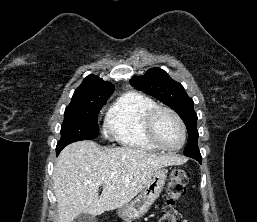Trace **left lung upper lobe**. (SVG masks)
Listing matches in <instances>:
<instances>
[{
    "instance_id": "obj_1",
    "label": "left lung upper lobe",
    "mask_w": 257,
    "mask_h": 222,
    "mask_svg": "<svg viewBox=\"0 0 257 222\" xmlns=\"http://www.w3.org/2000/svg\"><path fill=\"white\" fill-rule=\"evenodd\" d=\"M130 84L135 89L157 98L178 113L187 127L189 136L184 155L194 159L202 158L198 148L199 135L194 102L186 94L183 86L160 68H151L143 76L132 77Z\"/></svg>"
}]
</instances>
